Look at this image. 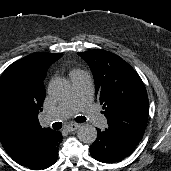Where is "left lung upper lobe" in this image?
I'll return each instance as SVG.
<instances>
[{"instance_id": "left-lung-upper-lobe-1", "label": "left lung upper lobe", "mask_w": 171, "mask_h": 171, "mask_svg": "<svg viewBox=\"0 0 171 171\" xmlns=\"http://www.w3.org/2000/svg\"><path fill=\"white\" fill-rule=\"evenodd\" d=\"M78 55L92 71L95 94L104 109L108 128L140 142L147 124L149 102L138 73L109 51L89 50Z\"/></svg>"}]
</instances>
